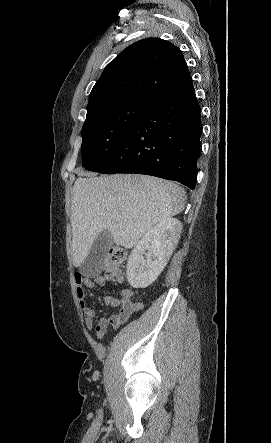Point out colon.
I'll use <instances>...</instances> for the list:
<instances>
[{"label": "colon", "instance_id": "obj_1", "mask_svg": "<svg viewBox=\"0 0 271 443\" xmlns=\"http://www.w3.org/2000/svg\"><path fill=\"white\" fill-rule=\"evenodd\" d=\"M126 259V253L123 249H110L105 259V272L111 278H119L121 270Z\"/></svg>", "mask_w": 271, "mask_h": 443}]
</instances>
